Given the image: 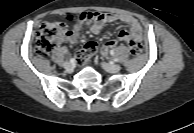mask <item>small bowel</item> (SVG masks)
Listing matches in <instances>:
<instances>
[{
    "label": "small bowel",
    "mask_w": 194,
    "mask_h": 133,
    "mask_svg": "<svg viewBox=\"0 0 194 133\" xmlns=\"http://www.w3.org/2000/svg\"><path fill=\"white\" fill-rule=\"evenodd\" d=\"M116 21H120L128 25L129 29L121 30L118 34V39H112L103 43L101 46V53L104 56L110 54L113 51V49L118 45V41H124L127 43H130L131 40H137L139 42L141 41L142 27L136 18L127 15H116L112 13L92 11L82 13L73 24L71 29L68 30L66 34L60 39V42L75 44L85 24L90 26V31L93 34H99L106 24Z\"/></svg>",
    "instance_id": "1"
}]
</instances>
